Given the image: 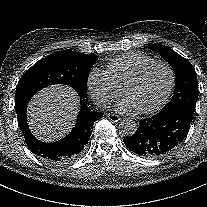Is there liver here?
Returning <instances> with one entry per match:
<instances>
[{
  "mask_svg": "<svg viewBox=\"0 0 207 207\" xmlns=\"http://www.w3.org/2000/svg\"><path fill=\"white\" fill-rule=\"evenodd\" d=\"M79 106V96L72 87L63 84L45 87L28 104L29 129L43 142L62 139L75 126Z\"/></svg>",
  "mask_w": 207,
  "mask_h": 207,
  "instance_id": "1",
  "label": "liver"
}]
</instances>
